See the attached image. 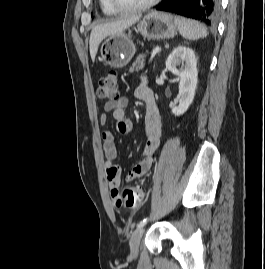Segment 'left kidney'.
Here are the masks:
<instances>
[{"label": "left kidney", "mask_w": 265, "mask_h": 269, "mask_svg": "<svg viewBox=\"0 0 265 269\" xmlns=\"http://www.w3.org/2000/svg\"><path fill=\"white\" fill-rule=\"evenodd\" d=\"M180 65L182 68L178 69L177 67ZM166 68L180 77L177 96L179 104L172 108V113L175 116H180L188 110L193 102L197 87L198 71L194 51L186 46L176 47L166 60Z\"/></svg>", "instance_id": "5707ae66"}]
</instances>
